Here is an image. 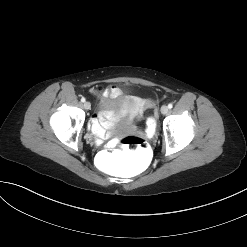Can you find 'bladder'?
I'll use <instances>...</instances> for the list:
<instances>
[{"instance_id":"1","label":"bladder","mask_w":247,"mask_h":247,"mask_svg":"<svg viewBox=\"0 0 247 247\" xmlns=\"http://www.w3.org/2000/svg\"><path fill=\"white\" fill-rule=\"evenodd\" d=\"M139 113L135 97L123 91L107 94L101 101L97 117L103 120L117 122L124 118H131Z\"/></svg>"}]
</instances>
